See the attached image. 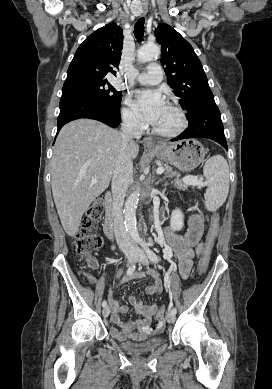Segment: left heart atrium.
Wrapping results in <instances>:
<instances>
[{
	"instance_id": "39dd6f15",
	"label": "left heart atrium",
	"mask_w": 272,
	"mask_h": 389,
	"mask_svg": "<svg viewBox=\"0 0 272 389\" xmlns=\"http://www.w3.org/2000/svg\"><path fill=\"white\" fill-rule=\"evenodd\" d=\"M132 97L134 106L142 113L144 119L154 125L165 106L160 92L157 90H136Z\"/></svg>"
}]
</instances>
